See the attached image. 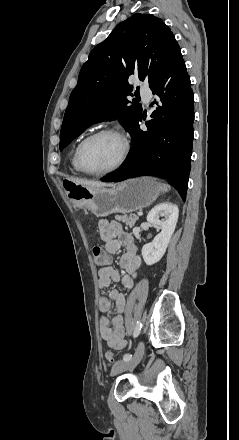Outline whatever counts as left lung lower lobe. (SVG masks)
<instances>
[{
    "label": "left lung lower lobe",
    "instance_id": "1",
    "mask_svg": "<svg viewBox=\"0 0 239 440\" xmlns=\"http://www.w3.org/2000/svg\"><path fill=\"white\" fill-rule=\"evenodd\" d=\"M158 101L146 122L147 131L139 129L143 114L129 131L132 149L125 165L104 177V182H118L138 176H157L174 181L186 199L193 142L194 96L180 47L174 45L160 74L149 84Z\"/></svg>",
    "mask_w": 239,
    "mask_h": 440
}]
</instances>
